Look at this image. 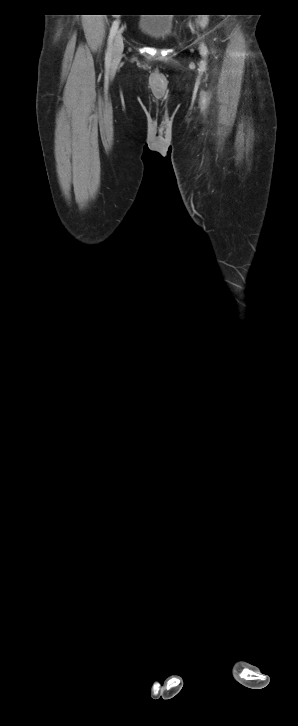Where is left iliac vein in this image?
Masks as SVG:
<instances>
[{"instance_id": "obj_1", "label": "left iliac vein", "mask_w": 298, "mask_h": 726, "mask_svg": "<svg viewBox=\"0 0 298 726\" xmlns=\"http://www.w3.org/2000/svg\"><path fill=\"white\" fill-rule=\"evenodd\" d=\"M200 52H201L202 56H206L207 49H206L205 45H203V44L201 45Z\"/></svg>"}]
</instances>
